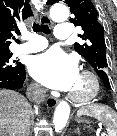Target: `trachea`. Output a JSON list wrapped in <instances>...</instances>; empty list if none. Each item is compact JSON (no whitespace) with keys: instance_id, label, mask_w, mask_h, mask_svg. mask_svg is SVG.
I'll use <instances>...</instances> for the list:
<instances>
[{"instance_id":"1","label":"trachea","mask_w":117,"mask_h":136,"mask_svg":"<svg viewBox=\"0 0 117 136\" xmlns=\"http://www.w3.org/2000/svg\"><path fill=\"white\" fill-rule=\"evenodd\" d=\"M33 31L34 32H43L44 34H50V29H49L48 25H46V24L39 25L37 23H34L33 24Z\"/></svg>"}]
</instances>
